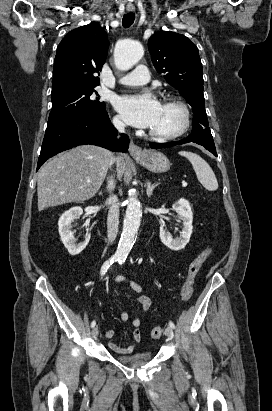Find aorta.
<instances>
[{
  "label": "aorta",
  "mask_w": 272,
  "mask_h": 411,
  "mask_svg": "<svg viewBox=\"0 0 272 411\" xmlns=\"http://www.w3.org/2000/svg\"><path fill=\"white\" fill-rule=\"evenodd\" d=\"M143 56V47L138 41H124L118 44L114 50L115 65L120 70H128L133 67ZM142 210L140 201L135 193H131L127 199V209L123 221L121 238L114 254L118 261H125L135 241L140 226Z\"/></svg>",
  "instance_id": "obj_1"
}]
</instances>
